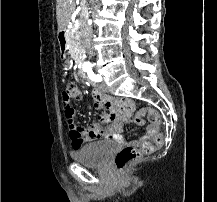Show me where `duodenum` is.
I'll return each mask as SVG.
<instances>
[{"mask_svg":"<svg viewBox=\"0 0 217 202\" xmlns=\"http://www.w3.org/2000/svg\"><path fill=\"white\" fill-rule=\"evenodd\" d=\"M66 38H67V32H66V30L65 29L60 30L58 32L57 39H58V44H59V49H60V57L62 59L67 57V41H66ZM78 74H79V77L83 81L87 82L91 86L95 85V83L92 80V78L85 71L80 70Z\"/></svg>","mask_w":217,"mask_h":202,"instance_id":"1","label":"duodenum"}]
</instances>
